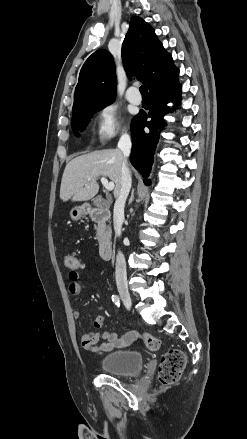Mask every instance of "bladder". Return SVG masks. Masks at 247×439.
Instances as JSON below:
<instances>
[{"label":"bladder","mask_w":247,"mask_h":439,"mask_svg":"<svg viewBox=\"0 0 247 439\" xmlns=\"http://www.w3.org/2000/svg\"><path fill=\"white\" fill-rule=\"evenodd\" d=\"M144 357L136 350H121L107 354L101 360L103 371L118 376H133L141 372Z\"/></svg>","instance_id":"obj_1"}]
</instances>
